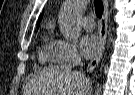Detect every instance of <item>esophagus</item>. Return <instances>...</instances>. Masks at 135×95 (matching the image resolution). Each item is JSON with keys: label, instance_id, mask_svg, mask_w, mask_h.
<instances>
[{"label": "esophagus", "instance_id": "1", "mask_svg": "<svg viewBox=\"0 0 135 95\" xmlns=\"http://www.w3.org/2000/svg\"><path fill=\"white\" fill-rule=\"evenodd\" d=\"M103 15L100 20V29H99V35H100V49L98 53L92 58L90 63L88 64V72H93V70L97 67L98 63L100 62V59L103 55L104 49H105V43L107 39V21H108V1H103Z\"/></svg>", "mask_w": 135, "mask_h": 95}]
</instances>
